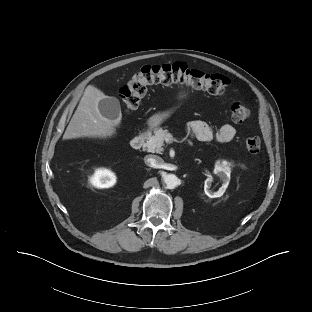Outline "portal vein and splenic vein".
<instances>
[{
    "mask_svg": "<svg viewBox=\"0 0 312 312\" xmlns=\"http://www.w3.org/2000/svg\"><path fill=\"white\" fill-rule=\"evenodd\" d=\"M166 140H167V141H172V140H173L172 135H171V134H168V135L166 136Z\"/></svg>",
    "mask_w": 312,
    "mask_h": 312,
    "instance_id": "portal-vein-and-splenic-vein-1",
    "label": "portal vein and splenic vein"
}]
</instances>
